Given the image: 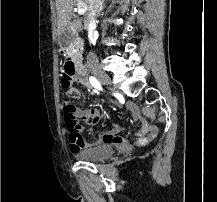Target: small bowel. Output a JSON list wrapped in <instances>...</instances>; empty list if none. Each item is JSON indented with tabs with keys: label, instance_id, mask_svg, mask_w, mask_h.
<instances>
[{
	"label": "small bowel",
	"instance_id": "1",
	"mask_svg": "<svg viewBox=\"0 0 217 202\" xmlns=\"http://www.w3.org/2000/svg\"><path fill=\"white\" fill-rule=\"evenodd\" d=\"M67 66H70L67 64ZM59 90H73L70 94L72 99H80L82 93L79 89L75 88V85H59ZM128 110L131 112L134 118H138L139 113L135 104L129 103ZM74 115L77 119L83 122L95 126L103 118L102 111L99 107H89V108H75ZM142 128L136 132L133 141H129L124 138H120L118 133L120 132V126L113 125L110 132L103 133L98 139L94 140L93 143L86 142H70V147H93L100 144H117L121 149L128 150L133 146H145L153 141L158 132V128L155 124L146 118H142ZM68 141H83V136H81V131H70V136H68Z\"/></svg>",
	"mask_w": 217,
	"mask_h": 202
}]
</instances>
